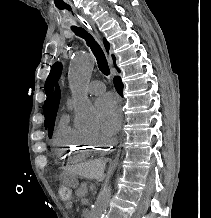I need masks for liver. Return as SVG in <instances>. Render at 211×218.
<instances>
[{
    "mask_svg": "<svg viewBox=\"0 0 211 218\" xmlns=\"http://www.w3.org/2000/svg\"><path fill=\"white\" fill-rule=\"evenodd\" d=\"M104 168L105 162H102V160H93V162H87V164H84L79 172L81 176H84V178H91V180L102 182L105 178Z\"/></svg>",
    "mask_w": 211,
    "mask_h": 218,
    "instance_id": "1",
    "label": "liver"
}]
</instances>
